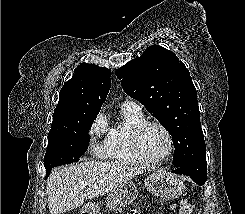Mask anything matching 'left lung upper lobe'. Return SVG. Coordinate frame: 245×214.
<instances>
[{
	"instance_id": "1",
	"label": "left lung upper lobe",
	"mask_w": 245,
	"mask_h": 214,
	"mask_svg": "<svg viewBox=\"0 0 245 214\" xmlns=\"http://www.w3.org/2000/svg\"><path fill=\"white\" fill-rule=\"evenodd\" d=\"M116 75L124 91L144 104L172 136L175 166L206 156L197 92L188 69L173 52L149 46Z\"/></svg>"
}]
</instances>
